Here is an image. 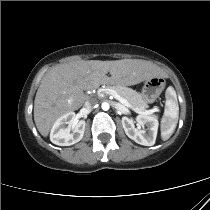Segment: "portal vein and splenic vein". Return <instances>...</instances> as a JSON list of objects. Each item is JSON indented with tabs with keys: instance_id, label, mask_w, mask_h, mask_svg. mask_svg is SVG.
<instances>
[{
	"instance_id": "1",
	"label": "portal vein and splenic vein",
	"mask_w": 210,
	"mask_h": 210,
	"mask_svg": "<svg viewBox=\"0 0 210 210\" xmlns=\"http://www.w3.org/2000/svg\"><path fill=\"white\" fill-rule=\"evenodd\" d=\"M100 92H104L105 94L108 95H112L116 100H118L120 103H122L123 105H125L126 107L130 108V104L127 102V100H125L123 97H121L116 91L112 90V89H106ZM154 112V110H148L145 113H151ZM141 113V112H139Z\"/></svg>"
}]
</instances>
